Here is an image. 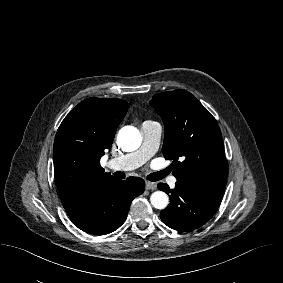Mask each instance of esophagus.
<instances>
[{
  "instance_id": "1",
  "label": "esophagus",
  "mask_w": 283,
  "mask_h": 283,
  "mask_svg": "<svg viewBox=\"0 0 283 283\" xmlns=\"http://www.w3.org/2000/svg\"><path fill=\"white\" fill-rule=\"evenodd\" d=\"M157 188V184L154 182H146V189L147 190H155Z\"/></svg>"
}]
</instances>
